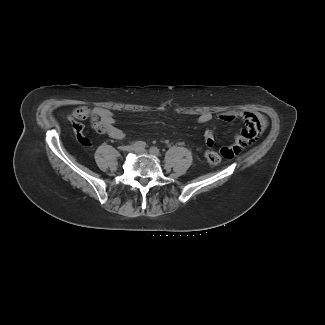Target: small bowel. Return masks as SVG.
<instances>
[{"label": "small bowel", "mask_w": 325, "mask_h": 325, "mask_svg": "<svg viewBox=\"0 0 325 325\" xmlns=\"http://www.w3.org/2000/svg\"><path fill=\"white\" fill-rule=\"evenodd\" d=\"M217 118L224 123H231L236 120L243 123L242 129L234 137L233 144L224 146L220 150L222 156L227 159L233 158L247 148L267 125V120L263 115L252 111L224 112L219 114ZM212 119L211 113L202 112L197 121L200 124H208ZM70 120L78 140L84 145H88L89 142L85 137V129L81 122L86 120H89L92 129L97 133L106 134L116 140L125 138L124 132L116 126L112 111L104 107H79L72 112ZM204 143L207 147L214 146L215 134L212 130L205 131Z\"/></svg>", "instance_id": "small-bowel-1"}]
</instances>
